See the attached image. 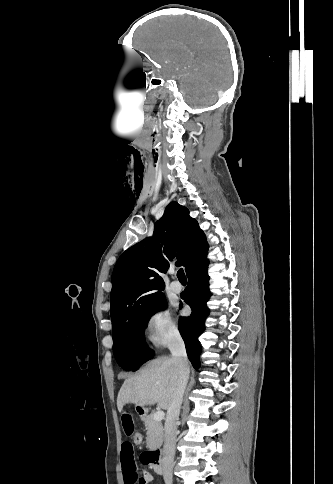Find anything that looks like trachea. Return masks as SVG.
<instances>
[{
    "label": "trachea",
    "mask_w": 333,
    "mask_h": 484,
    "mask_svg": "<svg viewBox=\"0 0 333 484\" xmlns=\"http://www.w3.org/2000/svg\"><path fill=\"white\" fill-rule=\"evenodd\" d=\"M177 277L179 280H186V276L182 268H180L177 272Z\"/></svg>",
    "instance_id": "1"
}]
</instances>
